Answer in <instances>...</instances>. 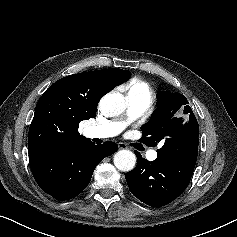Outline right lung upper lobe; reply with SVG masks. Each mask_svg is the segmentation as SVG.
Here are the masks:
<instances>
[{"mask_svg":"<svg viewBox=\"0 0 237 237\" xmlns=\"http://www.w3.org/2000/svg\"><path fill=\"white\" fill-rule=\"evenodd\" d=\"M130 72L103 69L66 76L56 81L38 101L28 134L29 159L86 139L80 121L94 118L104 92L129 79Z\"/></svg>","mask_w":237,"mask_h":237,"instance_id":"right-lung-upper-lobe-1","label":"right lung upper lobe"}]
</instances>
